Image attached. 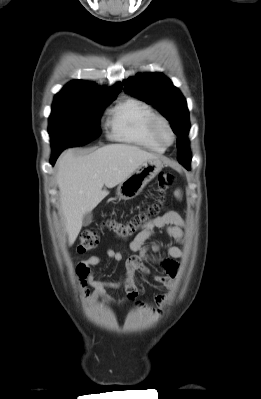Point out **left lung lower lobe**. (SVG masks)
Listing matches in <instances>:
<instances>
[{
	"label": "left lung lower lobe",
	"mask_w": 261,
	"mask_h": 399,
	"mask_svg": "<svg viewBox=\"0 0 261 399\" xmlns=\"http://www.w3.org/2000/svg\"><path fill=\"white\" fill-rule=\"evenodd\" d=\"M187 170H190V164H182Z\"/></svg>",
	"instance_id": "left-lung-lower-lobe-1"
}]
</instances>
